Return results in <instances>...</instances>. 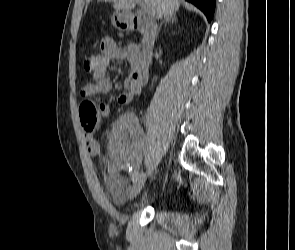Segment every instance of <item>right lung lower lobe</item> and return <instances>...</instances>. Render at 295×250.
Returning a JSON list of instances; mask_svg holds the SVG:
<instances>
[{"mask_svg":"<svg viewBox=\"0 0 295 250\" xmlns=\"http://www.w3.org/2000/svg\"><path fill=\"white\" fill-rule=\"evenodd\" d=\"M188 2L193 3L199 9H201L206 15L208 21H211L214 8H215V0H187Z\"/></svg>","mask_w":295,"mask_h":250,"instance_id":"98d812e1","label":"right lung lower lobe"}]
</instances>
